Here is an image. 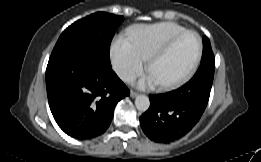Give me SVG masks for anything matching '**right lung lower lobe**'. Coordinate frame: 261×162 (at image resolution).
<instances>
[{
    "instance_id": "right-lung-lower-lobe-1",
    "label": "right lung lower lobe",
    "mask_w": 261,
    "mask_h": 162,
    "mask_svg": "<svg viewBox=\"0 0 261 162\" xmlns=\"http://www.w3.org/2000/svg\"><path fill=\"white\" fill-rule=\"evenodd\" d=\"M46 87L55 121L77 139L104 133L117 102L130 94L112 70L109 56L90 48L51 55Z\"/></svg>"
}]
</instances>
